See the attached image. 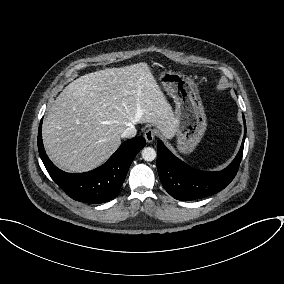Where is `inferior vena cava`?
I'll use <instances>...</instances> for the list:
<instances>
[{
    "mask_svg": "<svg viewBox=\"0 0 284 284\" xmlns=\"http://www.w3.org/2000/svg\"><path fill=\"white\" fill-rule=\"evenodd\" d=\"M136 133V128L133 125H130L122 132L121 136L123 138H132L135 137Z\"/></svg>",
    "mask_w": 284,
    "mask_h": 284,
    "instance_id": "obj_1",
    "label": "inferior vena cava"
}]
</instances>
